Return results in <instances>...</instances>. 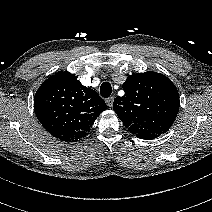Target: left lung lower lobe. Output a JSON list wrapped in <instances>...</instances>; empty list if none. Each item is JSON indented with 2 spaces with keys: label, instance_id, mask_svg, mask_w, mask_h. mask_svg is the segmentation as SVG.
Segmentation results:
<instances>
[{
  "label": "left lung lower lobe",
  "instance_id": "left-lung-lower-lobe-1",
  "mask_svg": "<svg viewBox=\"0 0 212 212\" xmlns=\"http://www.w3.org/2000/svg\"><path fill=\"white\" fill-rule=\"evenodd\" d=\"M160 135H155V134H153V135H150L149 137H147V138H144V139H154V138H157V137H159Z\"/></svg>",
  "mask_w": 212,
  "mask_h": 212
}]
</instances>
